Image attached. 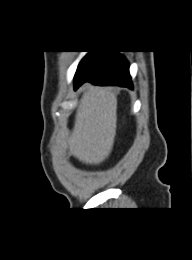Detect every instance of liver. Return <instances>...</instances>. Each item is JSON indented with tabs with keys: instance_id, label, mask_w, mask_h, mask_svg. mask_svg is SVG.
<instances>
[{
	"instance_id": "1",
	"label": "liver",
	"mask_w": 192,
	"mask_h": 260,
	"mask_svg": "<svg viewBox=\"0 0 192 260\" xmlns=\"http://www.w3.org/2000/svg\"><path fill=\"white\" fill-rule=\"evenodd\" d=\"M76 111L69 140L71 154L86 164L110 155L116 134V95L106 87L87 85Z\"/></svg>"
}]
</instances>
